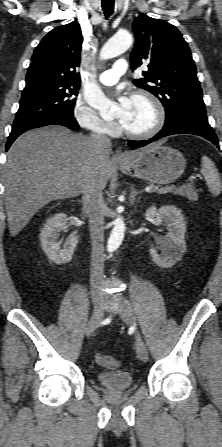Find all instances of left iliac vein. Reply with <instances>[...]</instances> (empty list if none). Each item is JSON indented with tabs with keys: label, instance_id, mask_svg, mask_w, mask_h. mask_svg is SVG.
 Segmentation results:
<instances>
[{
	"label": "left iliac vein",
	"instance_id": "left-iliac-vein-1",
	"mask_svg": "<svg viewBox=\"0 0 222 447\" xmlns=\"http://www.w3.org/2000/svg\"><path fill=\"white\" fill-rule=\"evenodd\" d=\"M115 301L117 302L116 308H117L120 316L122 317L123 321L126 324L135 326L134 311H133V308L130 305V303L122 297L115 298ZM135 339H136V352H137L138 358L141 361L146 362L148 359V352H147L146 346L141 338V335L138 331L135 332Z\"/></svg>",
	"mask_w": 222,
	"mask_h": 447
}]
</instances>
